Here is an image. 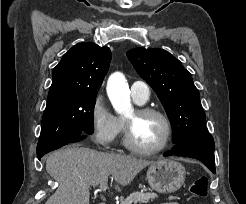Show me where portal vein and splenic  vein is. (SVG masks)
Here are the masks:
<instances>
[{
  "mask_svg": "<svg viewBox=\"0 0 246 204\" xmlns=\"http://www.w3.org/2000/svg\"><path fill=\"white\" fill-rule=\"evenodd\" d=\"M99 188H100L101 191H106V189H107V182L105 181V182L100 183Z\"/></svg>",
  "mask_w": 246,
  "mask_h": 204,
  "instance_id": "18ae733b",
  "label": "portal vein and splenic vein"
}]
</instances>
